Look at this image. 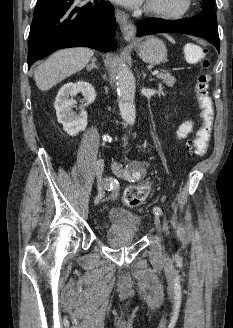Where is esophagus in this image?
Here are the masks:
<instances>
[{"instance_id":"1","label":"esophagus","mask_w":233,"mask_h":328,"mask_svg":"<svg viewBox=\"0 0 233 328\" xmlns=\"http://www.w3.org/2000/svg\"><path fill=\"white\" fill-rule=\"evenodd\" d=\"M116 20L120 26L122 34L126 40H132L135 37L136 27L129 19V16L122 10L116 9Z\"/></svg>"}]
</instances>
